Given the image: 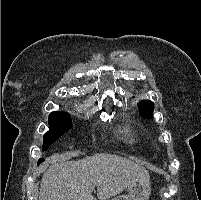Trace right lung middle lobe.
Returning a JSON list of instances; mask_svg holds the SVG:
<instances>
[{
  "mask_svg": "<svg viewBox=\"0 0 201 200\" xmlns=\"http://www.w3.org/2000/svg\"><path fill=\"white\" fill-rule=\"evenodd\" d=\"M49 131L43 138V149L46 150L56 139L72 128L71 116L67 112L55 111L49 115ZM43 159H39L38 163Z\"/></svg>",
  "mask_w": 201,
  "mask_h": 200,
  "instance_id": "dd1d6c3e",
  "label": "right lung middle lobe"
}]
</instances>
